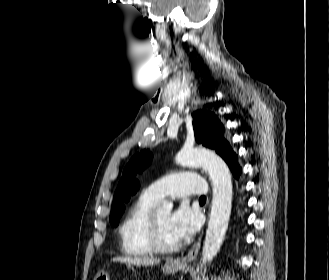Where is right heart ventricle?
<instances>
[{"label": "right heart ventricle", "mask_w": 329, "mask_h": 280, "mask_svg": "<svg viewBox=\"0 0 329 280\" xmlns=\"http://www.w3.org/2000/svg\"><path fill=\"white\" fill-rule=\"evenodd\" d=\"M157 201L143 192L128 209L119 227L121 250L126 255L142 257L153 252L147 237V222Z\"/></svg>", "instance_id": "e07e8e85"}]
</instances>
